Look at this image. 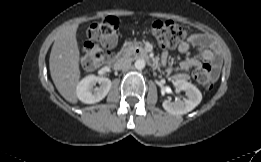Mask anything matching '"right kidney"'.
<instances>
[{"instance_id": "obj_1", "label": "right kidney", "mask_w": 261, "mask_h": 162, "mask_svg": "<svg viewBox=\"0 0 261 162\" xmlns=\"http://www.w3.org/2000/svg\"><path fill=\"white\" fill-rule=\"evenodd\" d=\"M99 83V87H95V84ZM112 82L105 77H97L95 75H89L83 78L76 87L77 97L80 101L86 104H94L108 94L111 88Z\"/></svg>"}]
</instances>
